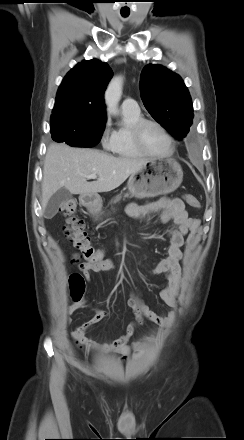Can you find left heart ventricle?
Segmentation results:
<instances>
[{"label": "left heart ventricle", "mask_w": 244, "mask_h": 440, "mask_svg": "<svg viewBox=\"0 0 244 440\" xmlns=\"http://www.w3.org/2000/svg\"><path fill=\"white\" fill-rule=\"evenodd\" d=\"M142 139L145 148L153 154H164L170 149L167 137L154 125H147L143 129Z\"/></svg>", "instance_id": "left-heart-ventricle-1"}]
</instances>
